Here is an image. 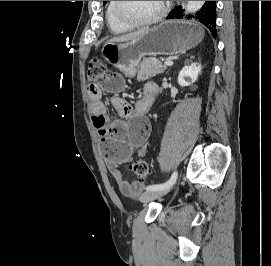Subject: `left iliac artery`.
<instances>
[{
  "mask_svg": "<svg viewBox=\"0 0 271 266\" xmlns=\"http://www.w3.org/2000/svg\"><path fill=\"white\" fill-rule=\"evenodd\" d=\"M176 179H177V172L174 171L168 181H166L165 183H161V184L149 185V186L146 187V190L147 191H149V190H161V189L168 188V187L172 186L176 182Z\"/></svg>",
  "mask_w": 271,
  "mask_h": 266,
  "instance_id": "1",
  "label": "left iliac artery"
}]
</instances>
